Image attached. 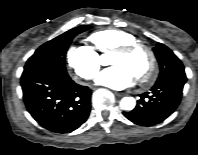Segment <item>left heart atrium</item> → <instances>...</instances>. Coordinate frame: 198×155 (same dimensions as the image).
<instances>
[{
    "mask_svg": "<svg viewBox=\"0 0 198 155\" xmlns=\"http://www.w3.org/2000/svg\"><path fill=\"white\" fill-rule=\"evenodd\" d=\"M135 81L132 72L122 65H114L102 71L96 78L99 85L114 89L122 90L131 86Z\"/></svg>",
    "mask_w": 198,
    "mask_h": 155,
    "instance_id": "obj_1",
    "label": "left heart atrium"
}]
</instances>
